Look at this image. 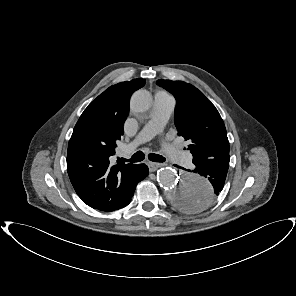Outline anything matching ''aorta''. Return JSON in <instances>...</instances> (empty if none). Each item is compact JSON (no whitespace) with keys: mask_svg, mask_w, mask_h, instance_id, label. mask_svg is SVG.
Masks as SVG:
<instances>
[{"mask_svg":"<svg viewBox=\"0 0 296 296\" xmlns=\"http://www.w3.org/2000/svg\"><path fill=\"white\" fill-rule=\"evenodd\" d=\"M153 105L151 95L144 90L136 91L130 102L131 109L138 114L148 113ZM157 180L165 191L167 200L175 207L190 213L206 210L214 198L211 182L202 174L185 169L161 168Z\"/></svg>","mask_w":296,"mask_h":296,"instance_id":"762f6f07","label":"aorta"}]
</instances>
